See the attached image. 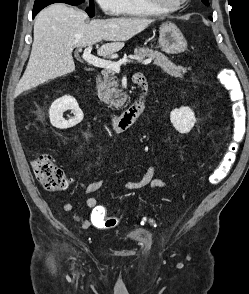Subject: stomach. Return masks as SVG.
Instances as JSON below:
<instances>
[{
  "label": "stomach",
  "mask_w": 249,
  "mask_h": 294,
  "mask_svg": "<svg viewBox=\"0 0 249 294\" xmlns=\"http://www.w3.org/2000/svg\"><path fill=\"white\" fill-rule=\"evenodd\" d=\"M158 42L161 49L168 54H178L187 49V41L182 32L171 22L160 26Z\"/></svg>",
  "instance_id": "obj_1"
}]
</instances>
